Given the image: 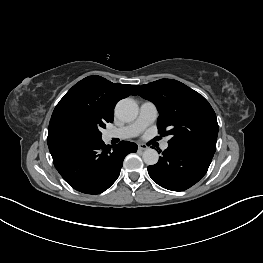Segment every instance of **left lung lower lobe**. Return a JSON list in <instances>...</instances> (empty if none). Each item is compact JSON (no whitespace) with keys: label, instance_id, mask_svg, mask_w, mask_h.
Wrapping results in <instances>:
<instances>
[{"label":"left lung lower lobe","instance_id":"left-lung-lower-lobe-1","mask_svg":"<svg viewBox=\"0 0 263 263\" xmlns=\"http://www.w3.org/2000/svg\"><path fill=\"white\" fill-rule=\"evenodd\" d=\"M213 155L205 150L169 145L158 163L148 167V173L161 187L183 191L206 174Z\"/></svg>","mask_w":263,"mask_h":263}]
</instances>
